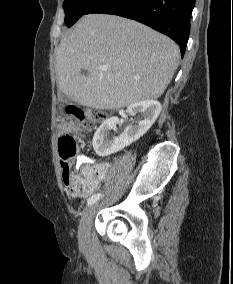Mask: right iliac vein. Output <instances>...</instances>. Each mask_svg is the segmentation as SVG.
Segmentation results:
<instances>
[{"label": "right iliac vein", "instance_id": "1", "mask_svg": "<svg viewBox=\"0 0 233 284\" xmlns=\"http://www.w3.org/2000/svg\"><path fill=\"white\" fill-rule=\"evenodd\" d=\"M97 209V204L87 207L82 214L79 228H78V238L79 243L82 248H87L90 242V227L92 223V218Z\"/></svg>", "mask_w": 233, "mask_h": 284}]
</instances>
